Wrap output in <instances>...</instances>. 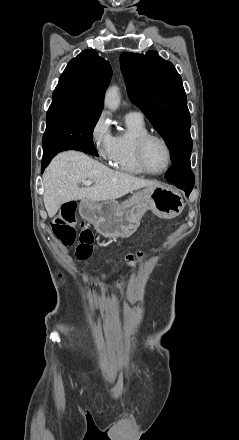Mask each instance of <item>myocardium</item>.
<instances>
[{
	"mask_svg": "<svg viewBox=\"0 0 239 440\" xmlns=\"http://www.w3.org/2000/svg\"><path fill=\"white\" fill-rule=\"evenodd\" d=\"M151 140L161 141L167 150L168 164L163 171L153 172L149 169V167L146 163L145 149H146L148 142ZM134 150H135V156H136V160H137L139 167L142 169V171L144 173H146L150 176L158 177V176L164 175L170 170V168L172 166V163H173L172 147H171L169 141L164 136H162L158 133L146 132V133L139 135L135 141Z\"/></svg>",
	"mask_w": 239,
	"mask_h": 440,
	"instance_id": "f54148a6",
	"label": "myocardium"
}]
</instances>
